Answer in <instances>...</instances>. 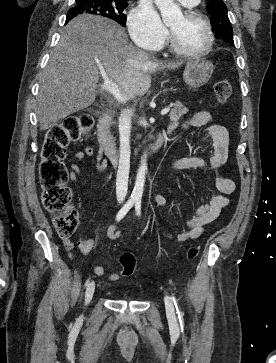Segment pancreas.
Returning <instances> with one entry per match:
<instances>
[{"label": "pancreas", "mask_w": 276, "mask_h": 363, "mask_svg": "<svg viewBox=\"0 0 276 363\" xmlns=\"http://www.w3.org/2000/svg\"><path fill=\"white\" fill-rule=\"evenodd\" d=\"M173 108L169 114V118L171 121L179 120L183 115L188 112V109L183 106L181 102H176L171 105Z\"/></svg>", "instance_id": "obj_1"}]
</instances>
